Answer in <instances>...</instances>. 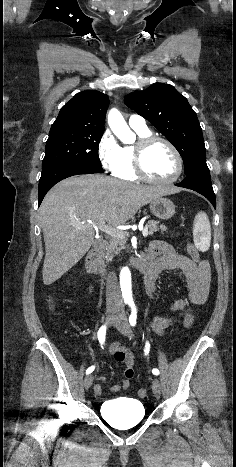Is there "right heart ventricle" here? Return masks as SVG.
<instances>
[{"label": "right heart ventricle", "instance_id": "right-heart-ventricle-1", "mask_svg": "<svg viewBox=\"0 0 236 467\" xmlns=\"http://www.w3.org/2000/svg\"><path fill=\"white\" fill-rule=\"evenodd\" d=\"M138 136L145 137L150 135V131L147 130H139L134 129ZM134 147L133 146H124L122 147V161L119 167L113 172L117 178L127 180V181H135L139 177L136 175L134 171Z\"/></svg>", "mask_w": 236, "mask_h": 467}]
</instances>
